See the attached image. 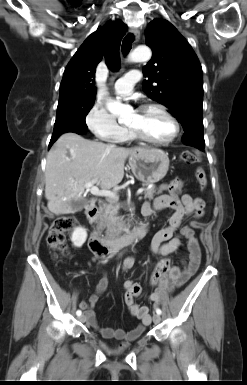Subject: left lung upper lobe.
Returning a JSON list of instances; mask_svg holds the SVG:
<instances>
[{
    "label": "left lung upper lobe",
    "instance_id": "1",
    "mask_svg": "<svg viewBox=\"0 0 247 385\" xmlns=\"http://www.w3.org/2000/svg\"><path fill=\"white\" fill-rule=\"evenodd\" d=\"M146 44L152 59L143 67V91L165 105L184 131L203 129V77L201 64L186 39L167 20L151 21Z\"/></svg>",
    "mask_w": 247,
    "mask_h": 385
}]
</instances>
